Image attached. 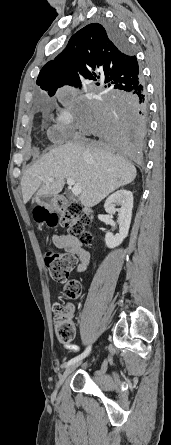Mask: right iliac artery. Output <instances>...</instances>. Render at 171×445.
Returning a JSON list of instances; mask_svg holds the SVG:
<instances>
[{"label":"right iliac artery","mask_w":171,"mask_h":445,"mask_svg":"<svg viewBox=\"0 0 171 445\" xmlns=\"http://www.w3.org/2000/svg\"><path fill=\"white\" fill-rule=\"evenodd\" d=\"M90 350H91V346H88V347L86 348V350H85L82 354H80V355H78V356L72 358L71 360H69V361L65 364V367H67V366H69V365H71V364H73V363H75V362H78V361L82 360L83 358H85V357L89 354Z\"/></svg>","instance_id":"obj_1"}]
</instances>
